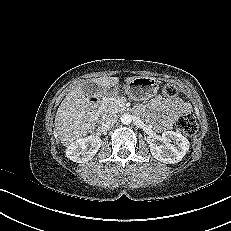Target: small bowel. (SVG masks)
I'll use <instances>...</instances> for the list:
<instances>
[{
    "label": "small bowel",
    "mask_w": 231,
    "mask_h": 231,
    "mask_svg": "<svg viewBox=\"0 0 231 231\" xmlns=\"http://www.w3.org/2000/svg\"><path fill=\"white\" fill-rule=\"evenodd\" d=\"M140 112H145L139 107ZM190 111L188 103L181 98L165 99L156 96L149 104V111L146 113L148 119L154 124L156 129L167 131L171 129L179 114Z\"/></svg>",
    "instance_id": "small-bowel-1"
}]
</instances>
